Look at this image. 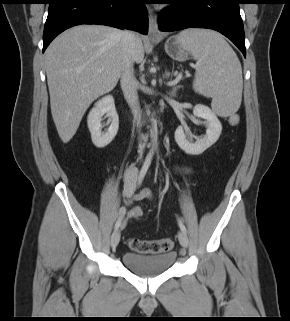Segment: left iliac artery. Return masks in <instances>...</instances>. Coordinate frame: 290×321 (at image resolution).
Wrapping results in <instances>:
<instances>
[{
  "label": "left iliac artery",
  "instance_id": "obj_1",
  "mask_svg": "<svg viewBox=\"0 0 290 321\" xmlns=\"http://www.w3.org/2000/svg\"><path fill=\"white\" fill-rule=\"evenodd\" d=\"M178 224L180 229L186 233L187 232L186 227L184 226L183 222L180 219H178Z\"/></svg>",
  "mask_w": 290,
  "mask_h": 321
}]
</instances>
